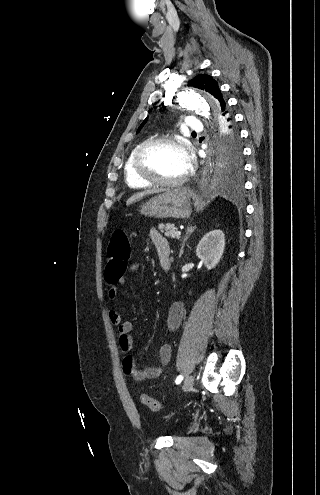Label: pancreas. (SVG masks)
I'll return each mask as SVG.
<instances>
[{
    "mask_svg": "<svg viewBox=\"0 0 320 495\" xmlns=\"http://www.w3.org/2000/svg\"><path fill=\"white\" fill-rule=\"evenodd\" d=\"M158 229L160 230L161 233H164L166 237L170 238H176L175 232L177 231V228L175 227L174 224L172 223H167L166 225L164 224H159Z\"/></svg>",
    "mask_w": 320,
    "mask_h": 495,
    "instance_id": "1",
    "label": "pancreas"
}]
</instances>
